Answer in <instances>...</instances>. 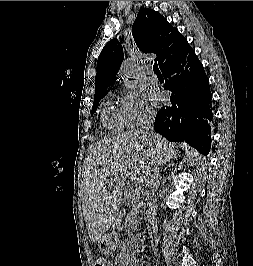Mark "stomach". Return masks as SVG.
I'll return each mask as SVG.
<instances>
[{"mask_svg": "<svg viewBox=\"0 0 253 266\" xmlns=\"http://www.w3.org/2000/svg\"><path fill=\"white\" fill-rule=\"evenodd\" d=\"M98 248L104 253H110L115 248V242L110 234H105L98 241Z\"/></svg>", "mask_w": 253, "mask_h": 266, "instance_id": "stomach-1", "label": "stomach"}]
</instances>
